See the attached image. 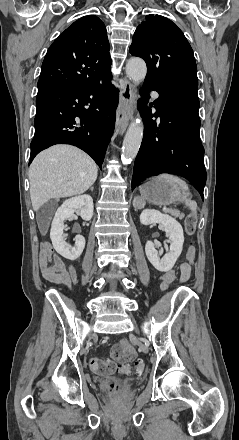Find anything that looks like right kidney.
I'll return each mask as SVG.
<instances>
[{"label":"right kidney","instance_id":"1","mask_svg":"<svg viewBox=\"0 0 239 440\" xmlns=\"http://www.w3.org/2000/svg\"><path fill=\"white\" fill-rule=\"evenodd\" d=\"M74 212H80L82 220L89 222L93 216V200L91 196L84 194V196H75V198L65 200L62 206L58 208L51 224L50 238L56 253H60L61 257H72V262L81 256L85 248V238L83 236H75V244H69L64 239L66 238L63 234V230L66 228L64 220L72 218Z\"/></svg>","mask_w":239,"mask_h":440}]
</instances>
